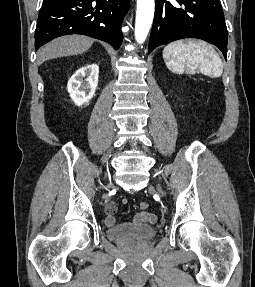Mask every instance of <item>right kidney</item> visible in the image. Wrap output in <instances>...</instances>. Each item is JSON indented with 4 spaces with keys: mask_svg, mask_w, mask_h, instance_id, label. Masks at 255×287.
Masks as SVG:
<instances>
[{
    "mask_svg": "<svg viewBox=\"0 0 255 287\" xmlns=\"http://www.w3.org/2000/svg\"><path fill=\"white\" fill-rule=\"evenodd\" d=\"M99 66L97 64H88L79 68L73 76H71L67 88L71 100L76 106L86 104L95 96V90L98 84Z\"/></svg>",
    "mask_w": 255,
    "mask_h": 287,
    "instance_id": "1",
    "label": "right kidney"
}]
</instances>
